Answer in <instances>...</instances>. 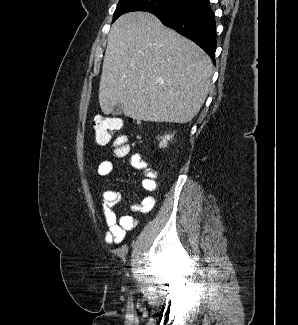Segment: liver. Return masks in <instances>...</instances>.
Here are the masks:
<instances>
[{
	"label": "liver",
	"mask_w": 298,
	"mask_h": 325,
	"mask_svg": "<svg viewBox=\"0 0 298 325\" xmlns=\"http://www.w3.org/2000/svg\"><path fill=\"white\" fill-rule=\"evenodd\" d=\"M99 84V104H115L137 120L189 122L210 88L213 64L195 42L151 12H126L113 22Z\"/></svg>",
	"instance_id": "obj_1"
}]
</instances>
